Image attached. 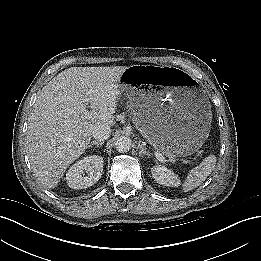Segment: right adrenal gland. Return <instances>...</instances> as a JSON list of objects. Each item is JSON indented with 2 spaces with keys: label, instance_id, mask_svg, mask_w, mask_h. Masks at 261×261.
I'll list each match as a JSON object with an SVG mask.
<instances>
[{
  "label": "right adrenal gland",
  "instance_id": "1",
  "mask_svg": "<svg viewBox=\"0 0 261 261\" xmlns=\"http://www.w3.org/2000/svg\"><path fill=\"white\" fill-rule=\"evenodd\" d=\"M104 144V142H100V141H92L88 147L90 148L92 145H96L97 147L102 146Z\"/></svg>",
  "mask_w": 261,
  "mask_h": 261
}]
</instances>
